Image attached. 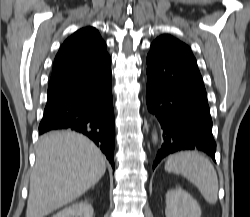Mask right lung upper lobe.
<instances>
[{"label": "right lung upper lobe", "mask_w": 250, "mask_h": 217, "mask_svg": "<svg viewBox=\"0 0 250 217\" xmlns=\"http://www.w3.org/2000/svg\"><path fill=\"white\" fill-rule=\"evenodd\" d=\"M108 59L106 44L95 28L76 31L65 40L55 57L48 90L90 74Z\"/></svg>", "instance_id": "1"}]
</instances>
